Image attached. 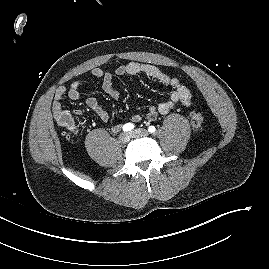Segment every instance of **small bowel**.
<instances>
[{
	"instance_id": "1",
	"label": "small bowel",
	"mask_w": 269,
	"mask_h": 269,
	"mask_svg": "<svg viewBox=\"0 0 269 269\" xmlns=\"http://www.w3.org/2000/svg\"><path fill=\"white\" fill-rule=\"evenodd\" d=\"M115 73L119 76L123 75H139L143 74L147 77L165 85L171 87L172 91L170 93L169 99L164 101L157 106H151L147 113V118L149 120H155L158 115H166L173 110L177 104H181L184 107H189L191 105V92L190 90L176 77H172L158 67L139 62H129L127 64L120 65L116 68ZM92 75L95 78H98L102 81L103 90L112 98L117 99L119 97L118 91L113 86V77L112 74L108 71H105L101 68H95L92 71ZM83 83L82 79H78L71 83L67 88L65 86H60L57 88L54 100L52 103V112L55 120L63 127H65L71 134L76 135L78 129L74 123L73 115L71 112L64 110L62 106V100L65 96L69 99L76 101L80 98V87ZM86 105L91 109L100 120L107 122L110 118L109 113L99 104L98 100L89 96L86 99ZM74 115H81V110H74ZM64 117H68L69 121L65 122ZM134 122H139L141 116L135 114L132 117ZM112 132L116 133L120 130V125H114L111 128Z\"/></svg>"
}]
</instances>
